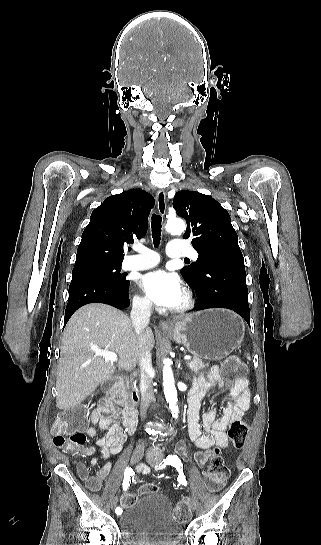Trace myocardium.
<instances>
[{
    "mask_svg": "<svg viewBox=\"0 0 321 545\" xmlns=\"http://www.w3.org/2000/svg\"><path fill=\"white\" fill-rule=\"evenodd\" d=\"M195 304L196 303L193 294L188 290H184L183 302L180 306L177 307L176 311L178 313H187L195 307Z\"/></svg>",
    "mask_w": 321,
    "mask_h": 545,
    "instance_id": "f54148a6",
    "label": "myocardium"
}]
</instances>
